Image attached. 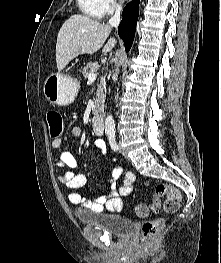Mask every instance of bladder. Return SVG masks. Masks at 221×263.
Returning <instances> with one entry per match:
<instances>
[{
  "label": "bladder",
  "mask_w": 221,
  "mask_h": 263,
  "mask_svg": "<svg viewBox=\"0 0 221 263\" xmlns=\"http://www.w3.org/2000/svg\"><path fill=\"white\" fill-rule=\"evenodd\" d=\"M77 218L82 224L97 226L117 237L128 236L136 226L135 221L118 214L79 215Z\"/></svg>",
  "instance_id": "1"
}]
</instances>
